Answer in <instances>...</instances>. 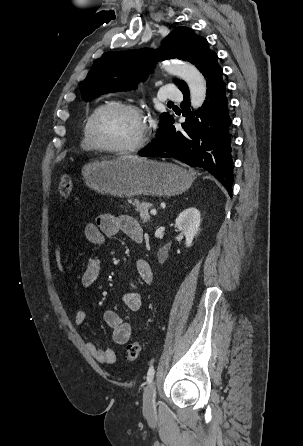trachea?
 Wrapping results in <instances>:
<instances>
[{"label":"trachea","instance_id":"obj_1","mask_svg":"<svg viewBox=\"0 0 303 446\" xmlns=\"http://www.w3.org/2000/svg\"><path fill=\"white\" fill-rule=\"evenodd\" d=\"M168 103H169V104H173V102H171V101H169Z\"/></svg>","mask_w":303,"mask_h":446}]
</instances>
